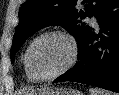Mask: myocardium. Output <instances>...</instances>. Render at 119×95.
I'll return each instance as SVG.
<instances>
[{
	"label": "myocardium",
	"mask_w": 119,
	"mask_h": 95,
	"mask_svg": "<svg viewBox=\"0 0 119 95\" xmlns=\"http://www.w3.org/2000/svg\"><path fill=\"white\" fill-rule=\"evenodd\" d=\"M49 36H61V37L65 38L70 44L71 54H70V58L67 61V63L60 70H58L57 72H55L51 75H48V76H41V75H38L33 70L32 66H31V61H30V55H31V51H32L33 47L35 46V44L39 40H41L45 37H49ZM78 55H79V45H78L76 38L71 33L67 32L65 30L56 29V30H50V31L44 32L32 40V42L29 44V46L26 49V52L24 55V62H25L27 71L34 79L39 80V81H50V80H54V79L58 78L59 76L63 75L67 71H69L76 64V62L78 60Z\"/></svg>",
	"instance_id": "myocardium-1"
}]
</instances>
